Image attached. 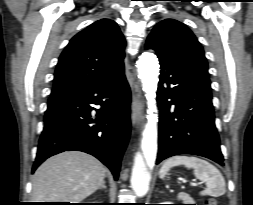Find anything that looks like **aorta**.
<instances>
[{
    "instance_id": "aorta-1",
    "label": "aorta",
    "mask_w": 253,
    "mask_h": 205,
    "mask_svg": "<svg viewBox=\"0 0 253 205\" xmlns=\"http://www.w3.org/2000/svg\"><path fill=\"white\" fill-rule=\"evenodd\" d=\"M138 77L147 100V124L143 132V154L155 156L157 152V107L156 91L159 80V62L155 54L144 52L137 62ZM142 153H137L131 175V187L135 194L142 197L147 194L150 184V172Z\"/></svg>"
}]
</instances>
